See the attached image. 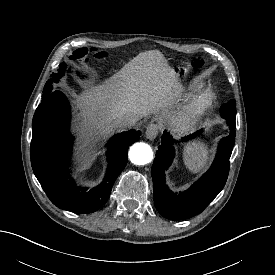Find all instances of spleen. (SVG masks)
<instances>
[{"mask_svg":"<svg viewBox=\"0 0 275 275\" xmlns=\"http://www.w3.org/2000/svg\"><path fill=\"white\" fill-rule=\"evenodd\" d=\"M183 160L193 173L203 170L209 160V150L203 142H193L184 148Z\"/></svg>","mask_w":275,"mask_h":275,"instance_id":"obj_1","label":"spleen"}]
</instances>
